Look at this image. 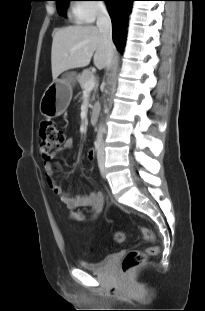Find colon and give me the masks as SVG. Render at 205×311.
Instances as JSON below:
<instances>
[{
	"label": "colon",
	"mask_w": 205,
	"mask_h": 311,
	"mask_svg": "<svg viewBox=\"0 0 205 311\" xmlns=\"http://www.w3.org/2000/svg\"><path fill=\"white\" fill-rule=\"evenodd\" d=\"M40 137V153L44 158H49L50 154L57 150L65 141L64 130L54 122L44 123L39 132ZM143 238L153 240L152 231L145 227L140 228ZM114 239L117 243H122L125 236L122 232H116ZM159 249L156 246L149 247L145 252L139 250L130 251L122 261L121 268L123 272L143 264L148 255H156Z\"/></svg>",
	"instance_id": "1"
}]
</instances>
